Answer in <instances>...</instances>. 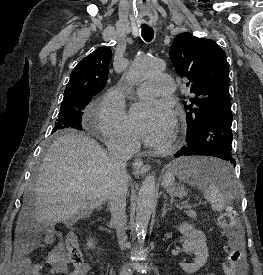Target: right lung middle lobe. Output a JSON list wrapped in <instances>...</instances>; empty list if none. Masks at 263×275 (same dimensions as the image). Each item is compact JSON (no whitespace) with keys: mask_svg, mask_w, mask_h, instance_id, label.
Segmentation results:
<instances>
[{"mask_svg":"<svg viewBox=\"0 0 263 275\" xmlns=\"http://www.w3.org/2000/svg\"><path fill=\"white\" fill-rule=\"evenodd\" d=\"M92 96L76 95L64 98L59 112V118L55 123L52 133H59L66 129L82 130V110L89 104Z\"/></svg>","mask_w":263,"mask_h":275,"instance_id":"obj_1","label":"right lung middle lobe"}]
</instances>
